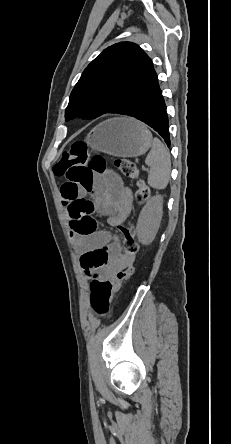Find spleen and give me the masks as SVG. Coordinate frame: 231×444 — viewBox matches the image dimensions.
<instances>
[{"mask_svg":"<svg viewBox=\"0 0 231 444\" xmlns=\"http://www.w3.org/2000/svg\"><path fill=\"white\" fill-rule=\"evenodd\" d=\"M145 163L150 168L148 184L158 190L166 188L170 180L171 159L168 149L158 138L153 139Z\"/></svg>","mask_w":231,"mask_h":444,"instance_id":"spleen-1","label":"spleen"}]
</instances>
